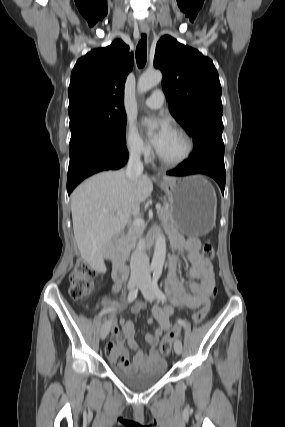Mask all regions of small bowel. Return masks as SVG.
<instances>
[{"label":"small bowel","instance_id":"1","mask_svg":"<svg viewBox=\"0 0 285 427\" xmlns=\"http://www.w3.org/2000/svg\"><path fill=\"white\" fill-rule=\"evenodd\" d=\"M171 240L175 250L186 253L190 263V282L187 284L178 277V255L172 256L165 287V291L170 299V305L160 306L157 304L152 309V318H149L147 322H156L157 327L154 333H147L145 335L146 344L149 346L147 353L136 342L135 328L132 321L120 319V329L116 319L112 315L108 316V322L112 327V333L116 339L107 345V353L110 361L117 366L129 370L159 366L163 362V359L157 350V345L163 334L171 328V317L175 314L176 309H196L200 307L208 300L212 289L215 287L213 266L209 260H206L200 254L201 243L199 239L193 237L184 239L179 234L172 232ZM121 283L122 280L115 279L113 292H117L120 289ZM101 306L108 312L121 310L120 306L112 304L108 300H103ZM146 306V302L140 301L132 306L131 313L138 314ZM125 340L129 348L134 351L132 361H130L129 354L124 348ZM118 356H122V362L117 360Z\"/></svg>","mask_w":285,"mask_h":427}]
</instances>
